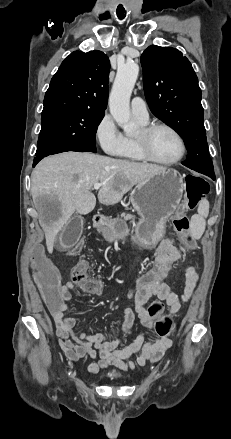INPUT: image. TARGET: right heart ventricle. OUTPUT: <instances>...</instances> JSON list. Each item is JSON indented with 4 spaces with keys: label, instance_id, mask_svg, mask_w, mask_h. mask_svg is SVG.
<instances>
[{
    "label": "right heart ventricle",
    "instance_id": "e07e8e85",
    "mask_svg": "<svg viewBox=\"0 0 231 439\" xmlns=\"http://www.w3.org/2000/svg\"><path fill=\"white\" fill-rule=\"evenodd\" d=\"M138 122L143 126L147 123L139 120ZM119 156L133 162H143L145 160L138 151L135 138L132 136H124V147Z\"/></svg>",
    "mask_w": 231,
    "mask_h": 439
}]
</instances>
